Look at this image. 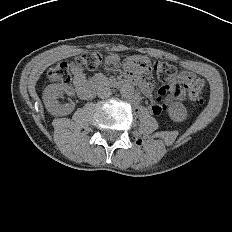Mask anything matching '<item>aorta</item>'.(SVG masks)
I'll list each match as a JSON object with an SVG mask.
<instances>
[{
    "label": "aorta",
    "instance_id": "762f6f07",
    "mask_svg": "<svg viewBox=\"0 0 232 232\" xmlns=\"http://www.w3.org/2000/svg\"><path fill=\"white\" fill-rule=\"evenodd\" d=\"M120 93L124 97H131L135 93V89L130 84H125L120 88Z\"/></svg>",
    "mask_w": 232,
    "mask_h": 232
}]
</instances>
